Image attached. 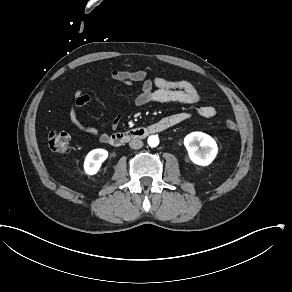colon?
<instances>
[{
	"label": "colon",
	"instance_id": "1",
	"mask_svg": "<svg viewBox=\"0 0 292 292\" xmlns=\"http://www.w3.org/2000/svg\"><path fill=\"white\" fill-rule=\"evenodd\" d=\"M225 126L230 131L237 130V125L231 119L225 120ZM71 136L62 130H53L48 134V146L53 153L62 154L69 151Z\"/></svg>",
	"mask_w": 292,
	"mask_h": 292
}]
</instances>
